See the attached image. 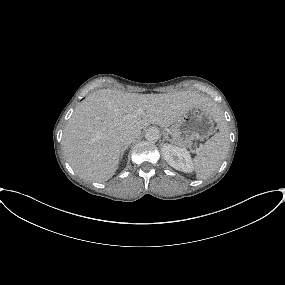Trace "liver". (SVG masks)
Returning <instances> with one entry per match:
<instances>
[{
	"label": "liver",
	"instance_id": "1",
	"mask_svg": "<svg viewBox=\"0 0 285 285\" xmlns=\"http://www.w3.org/2000/svg\"><path fill=\"white\" fill-rule=\"evenodd\" d=\"M195 106L210 111L216 119L217 106L207 97L190 91L138 94L98 90L78 105L67 122L63 152L80 177L107 181L117 170L124 134H140L150 124L168 128ZM137 110H142V114L131 116Z\"/></svg>",
	"mask_w": 285,
	"mask_h": 285
}]
</instances>
